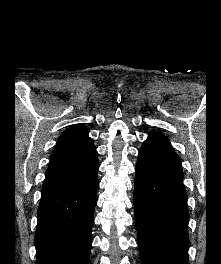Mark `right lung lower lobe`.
I'll list each match as a JSON object with an SVG mask.
<instances>
[{
  "mask_svg": "<svg viewBox=\"0 0 221 264\" xmlns=\"http://www.w3.org/2000/svg\"><path fill=\"white\" fill-rule=\"evenodd\" d=\"M97 152L49 166L35 234L36 264H88L99 185Z\"/></svg>",
  "mask_w": 221,
  "mask_h": 264,
  "instance_id": "obj_1",
  "label": "right lung lower lobe"
}]
</instances>
